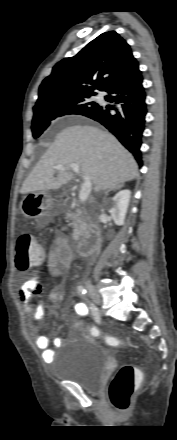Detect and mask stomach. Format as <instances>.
<instances>
[{
	"label": "stomach",
	"mask_w": 177,
	"mask_h": 440,
	"mask_svg": "<svg viewBox=\"0 0 177 440\" xmlns=\"http://www.w3.org/2000/svg\"><path fill=\"white\" fill-rule=\"evenodd\" d=\"M22 214L37 222H48L59 213V207L46 191L28 193L20 203Z\"/></svg>",
	"instance_id": "1"
}]
</instances>
